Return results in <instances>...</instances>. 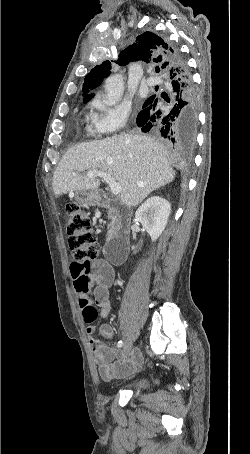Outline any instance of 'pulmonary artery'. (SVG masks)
<instances>
[{"mask_svg": "<svg viewBox=\"0 0 250 454\" xmlns=\"http://www.w3.org/2000/svg\"><path fill=\"white\" fill-rule=\"evenodd\" d=\"M160 82V80L156 77H149L147 80H146V83L150 86H154L156 84H158Z\"/></svg>", "mask_w": 250, "mask_h": 454, "instance_id": "pulmonary-artery-1", "label": "pulmonary artery"}]
</instances>
